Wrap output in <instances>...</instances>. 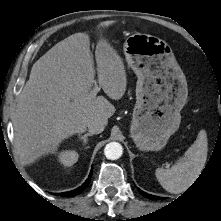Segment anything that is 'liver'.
Listing matches in <instances>:
<instances>
[{
	"label": "liver",
	"instance_id": "liver-1",
	"mask_svg": "<svg viewBox=\"0 0 221 221\" xmlns=\"http://www.w3.org/2000/svg\"><path fill=\"white\" fill-rule=\"evenodd\" d=\"M113 23L101 22L97 30ZM95 57L100 87L109 98L121 99L127 86L124 63L101 35ZM94 77L87 32L58 42L33 64L13 120L15 148L25 164L54 153L64 139L84 132L93 120L107 125L116 109L103 96L90 97Z\"/></svg>",
	"mask_w": 221,
	"mask_h": 221
}]
</instances>
